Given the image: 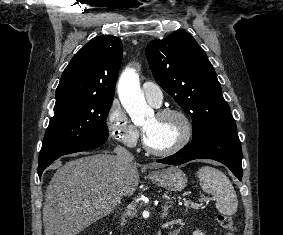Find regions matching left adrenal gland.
I'll list each match as a JSON object with an SVG mask.
<instances>
[{
    "label": "left adrenal gland",
    "instance_id": "obj_1",
    "mask_svg": "<svg viewBox=\"0 0 283 235\" xmlns=\"http://www.w3.org/2000/svg\"><path fill=\"white\" fill-rule=\"evenodd\" d=\"M171 207V205H167V206H163L162 207V214H161V217H166L168 215V209Z\"/></svg>",
    "mask_w": 283,
    "mask_h": 235
}]
</instances>
